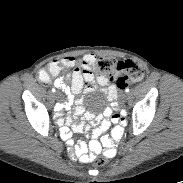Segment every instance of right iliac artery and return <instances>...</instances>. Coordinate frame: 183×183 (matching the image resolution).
Instances as JSON below:
<instances>
[{
    "label": "right iliac artery",
    "instance_id": "right-iliac-artery-1",
    "mask_svg": "<svg viewBox=\"0 0 183 183\" xmlns=\"http://www.w3.org/2000/svg\"><path fill=\"white\" fill-rule=\"evenodd\" d=\"M56 90H55V88H52V92H55ZM59 104H56V106H55V110H58L59 109Z\"/></svg>",
    "mask_w": 183,
    "mask_h": 183
}]
</instances>
